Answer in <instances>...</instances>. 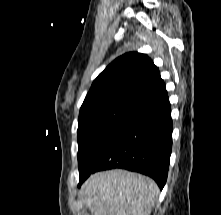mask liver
I'll return each mask as SVG.
<instances>
[{"instance_id": "6515ba94", "label": "liver", "mask_w": 221, "mask_h": 215, "mask_svg": "<svg viewBox=\"0 0 221 215\" xmlns=\"http://www.w3.org/2000/svg\"><path fill=\"white\" fill-rule=\"evenodd\" d=\"M159 193L151 178L126 170L95 173L81 188L93 215H150Z\"/></svg>"}]
</instances>
